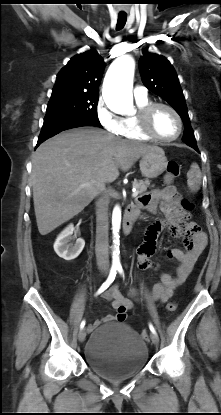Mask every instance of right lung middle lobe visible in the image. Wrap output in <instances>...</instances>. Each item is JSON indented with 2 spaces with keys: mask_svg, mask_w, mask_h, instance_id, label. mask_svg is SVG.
<instances>
[{
  "mask_svg": "<svg viewBox=\"0 0 221 415\" xmlns=\"http://www.w3.org/2000/svg\"><path fill=\"white\" fill-rule=\"evenodd\" d=\"M98 98L97 93H52L46 115L83 117L100 124L97 116Z\"/></svg>",
  "mask_w": 221,
  "mask_h": 415,
  "instance_id": "obj_1",
  "label": "right lung middle lobe"
}]
</instances>
